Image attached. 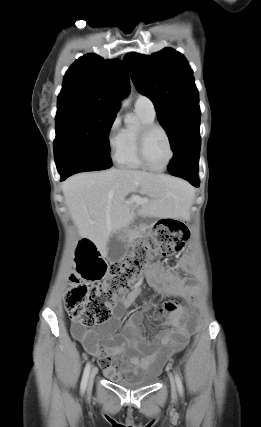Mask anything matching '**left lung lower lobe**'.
Returning <instances> with one entry per match:
<instances>
[{
	"mask_svg": "<svg viewBox=\"0 0 261 427\" xmlns=\"http://www.w3.org/2000/svg\"><path fill=\"white\" fill-rule=\"evenodd\" d=\"M200 144L199 128L186 132L173 149L174 156L168 168L171 175L184 178L195 187L199 186L198 162Z\"/></svg>",
	"mask_w": 261,
	"mask_h": 427,
	"instance_id": "1",
	"label": "left lung lower lobe"
}]
</instances>
